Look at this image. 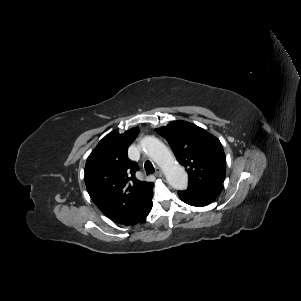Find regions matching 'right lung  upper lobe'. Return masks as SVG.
Returning a JSON list of instances; mask_svg holds the SVG:
<instances>
[{"label":"right lung upper lobe","mask_w":301,"mask_h":301,"mask_svg":"<svg viewBox=\"0 0 301 301\" xmlns=\"http://www.w3.org/2000/svg\"><path fill=\"white\" fill-rule=\"evenodd\" d=\"M139 133L137 128L105 136L85 165L87 191L96 206L116 223L126 224L142 208L153 183L135 179L137 163L127 160V151Z\"/></svg>","instance_id":"cb5924a9"}]
</instances>
